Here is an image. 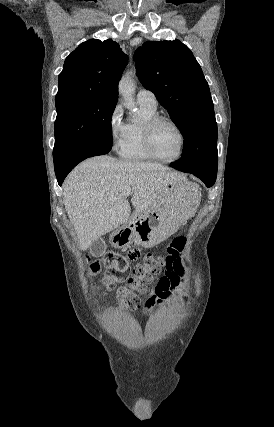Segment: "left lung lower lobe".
I'll return each instance as SVG.
<instances>
[{"mask_svg":"<svg viewBox=\"0 0 274 427\" xmlns=\"http://www.w3.org/2000/svg\"><path fill=\"white\" fill-rule=\"evenodd\" d=\"M171 165H172V167H174L180 171H183L186 173H191V174L197 176L199 179H201L206 184L207 187H211L215 183L217 170L216 171L200 170L197 168L184 166V165L177 163V162H173V163H171Z\"/></svg>","mask_w":274,"mask_h":427,"instance_id":"0a47b994","label":"left lung lower lobe"}]
</instances>
